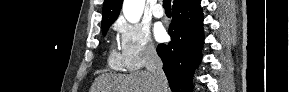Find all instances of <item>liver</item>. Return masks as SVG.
<instances>
[{"label": "liver", "mask_w": 289, "mask_h": 92, "mask_svg": "<svg viewBox=\"0 0 289 92\" xmlns=\"http://www.w3.org/2000/svg\"><path fill=\"white\" fill-rule=\"evenodd\" d=\"M165 90L169 92L168 85ZM91 92H158V89L149 71H137L129 75L102 74L96 78Z\"/></svg>", "instance_id": "obj_1"}]
</instances>
